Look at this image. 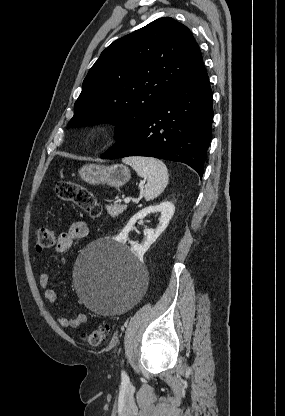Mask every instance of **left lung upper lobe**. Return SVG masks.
Segmentation results:
<instances>
[{
    "label": "left lung upper lobe",
    "instance_id": "1",
    "mask_svg": "<svg viewBox=\"0 0 285 416\" xmlns=\"http://www.w3.org/2000/svg\"><path fill=\"white\" fill-rule=\"evenodd\" d=\"M202 63L190 30L170 18L157 19L113 42L83 82L67 129L117 125L118 141L184 84Z\"/></svg>",
    "mask_w": 285,
    "mask_h": 416
}]
</instances>
